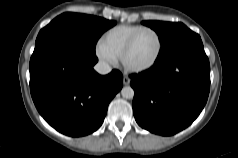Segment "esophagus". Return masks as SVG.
I'll return each instance as SVG.
<instances>
[{"instance_id": "34e87169", "label": "esophagus", "mask_w": 238, "mask_h": 158, "mask_svg": "<svg viewBox=\"0 0 238 158\" xmlns=\"http://www.w3.org/2000/svg\"><path fill=\"white\" fill-rule=\"evenodd\" d=\"M123 83H124V85H129L130 84V78L127 77V76H124Z\"/></svg>"}]
</instances>
